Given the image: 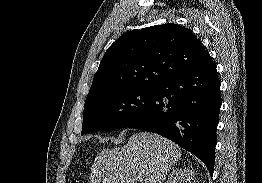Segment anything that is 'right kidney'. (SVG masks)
Segmentation results:
<instances>
[{
    "label": "right kidney",
    "instance_id": "obj_1",
    "mask_svg": "<svg viewBox=\"0 0 262 183\" xmlns=\"http://www.w3.org/2000/svg\"><path fill=\"white\" fill-rule=\"evenodd\" d=\"M194 171L190 168L173 169L166 183H195Z\"/></svg>",
    "mask_w": 262,
    "mask_h": 183
}]
</instances>
